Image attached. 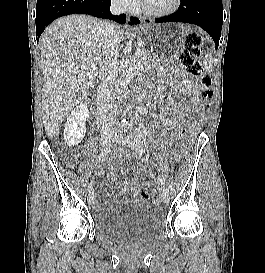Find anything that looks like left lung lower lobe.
<instances>
[{"instance_id":"obj_1","label":"left lung lower lobe","mask_w":265,"mask_h":273,"mask_svg":"<svg viewBox=\"0 0 265 273\" xmlns=\"http://www.w3.org/2000/svg\"><path fill=\"white\" fill-rule=\"evenodd\" d=\"M155 22L196 24L213 38L217 48L223 23L222 0H181L178 11L170 16L156 19Z\"/></svg>"}]
</instances>
